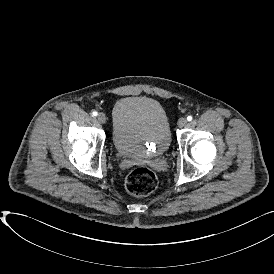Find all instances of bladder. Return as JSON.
<instances>
[{
    "mask_svg": "<svg viewBox=\"0 0 274 274\" xmlns=\"http://www.w3.org/2000/svg\"><path fill=\"white\" fill-rule=\"evenodd\" d=\"M112 142L119 155L145 159L167 151L171 128L164 107L146 96L123 97L112 110Z\"/></svg>",
    "mask_w": 274,
    "mask_h": 274,
    "instance_id": "obj_1",
    "label": "bladder"
}]
</instances>
